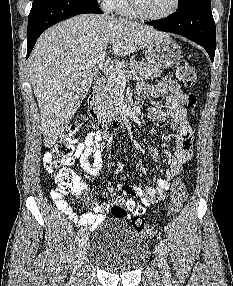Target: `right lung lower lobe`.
I'll return each instance as SVG.
<instances>
[{"mask_svg":"<svg viewBox=\"0 0 233 286\" xmlns=\"http://www.w3.org/2000/svg\"><path fill=\"white\" fill-rule=\"evenodd\" d=\"M103 14L98 3L90 0H42L33 4L28 17L27 57L38 37L50 26L79 14Z\"/></svg>","mask_w":233,"mask_h":286,"instance_id":"98d812e1","label":"right lung lower lobe"}]
</instances>
